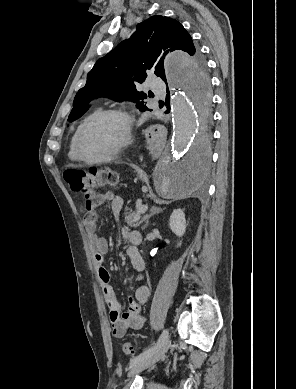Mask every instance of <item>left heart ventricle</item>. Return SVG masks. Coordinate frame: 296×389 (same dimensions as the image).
I'll return each instance as SVG.
<instances>
[{
	"mask_svg": "<svg viewBox=\"0 0 296 389\" xmlns=\"http://www.w3.org/2000/svg\"><path fill=\"white\" fill-rule=\"evenodd\" d=\"M124 135L125 125L120 117H101L85 130L81 142L82 152L88 158L101 157L121 143Z\"/></svg>",
	"mask_w": 296,
	"mask_h": 389,
	"instance_id": "1",
	"label": "left heart ventricle"
}]
</instances>
